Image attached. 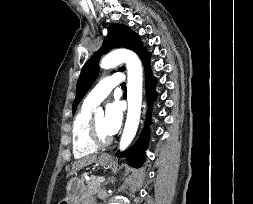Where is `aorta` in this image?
Segmentation results:
<instances>
[{
  "label": "aorta",
  "mask_w": 253,
  "mask_h": 204,
  "mask_svg": "<svg viewBox=\"0 0 253 204\" xmlns=\"http://www.w3.org/2000/svg\"><path fill=\"white\" fill-rule=\"evenodd\" d=\"M121 63L127 66V101L128 114L124 127V131L120 140L119 148L125 150L138 129L141 105H142V66L138 56L127 49H119L106 55L100 63L101 68L109 69L116 67ZM101 109L97 110V115H102Z\"/></svg>",
  "instance_id": "762f6f07"
}]
</instances>
